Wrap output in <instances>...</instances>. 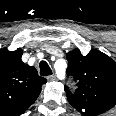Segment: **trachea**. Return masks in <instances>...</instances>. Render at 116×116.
Segmentation results:
<instances>
[{
	"instance_id": "3493384b",
	"label": "trachea",
	"mask_w": 116,
	"mask_h": 116,
	"mask_svg": "<svg viewBox=\"0 0 116 116\" xmlns=\"http://www.w3.org/2000/svg\"><path fill=\"white\" fill-rule=\"evenodd\" d=\"M39 67H40V74L42 76H49V75H52V70L51 68L49 67L48 63L45 62V61H41L40 64H39Z\"/></svg>"
}]
</instances>
